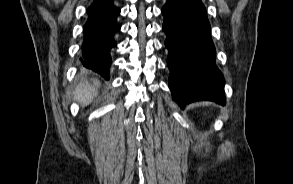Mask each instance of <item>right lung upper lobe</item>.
Wrapping results in <instances>:
<instances>
[{"label": "right lung upper lobe", "mask_w": 293, "mask_h": 184, "mask_svg": "<svg viewBox=\"0 0 293 184\" xmlns=\"http://www.w3.org/2000/svg\"><path fill=\"white\" fill-rule=\"evenodd\" d=\"M94 1H99V2H102V1H105V0H94Z\"/></svg>", "instance_id": "cb5924a9"}]
</instances>
